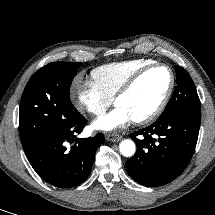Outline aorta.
I'll return each mask as SVG.
<instances>
[{"label": "aorta", "mask_w": 215, "mask_h": 215, "mask_svg": "<svg viewBox=\"0 0 215 215\" xmlns=\"http://www.w3.org/2000/svg\"><path fill=\"white\" fill-rule=\"evenodd\" d=\"M120 152L125 157H130L135 153V144L132 140H123L120 145Z\"/></svg>", "instance_id": "obj_1"}]
</instances>
